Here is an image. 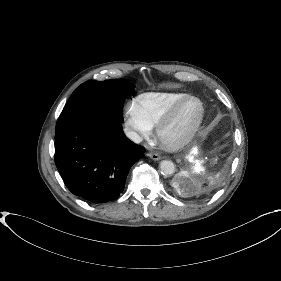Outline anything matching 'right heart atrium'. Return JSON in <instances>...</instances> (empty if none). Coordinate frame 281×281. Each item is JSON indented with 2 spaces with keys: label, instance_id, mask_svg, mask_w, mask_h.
Here are the masks:
<instances>
[{
  "label": "right heart atrium",
  "instance_id": "obj_1",
  "mask_svg": "<svg viewBox=\"0 0 281 281\" xmlns=\"http://www.w3.org/2000/svg\"><path fill=\"white\" fill-rule=\"evenodd\" d=\"M126 125L132 129L137 138H146L151 133V127L143 120L135 102L127 103L124 107Z\"/></svg>",
  "mask_w": 281,
  "mask_h": 281
}]
</instances>
